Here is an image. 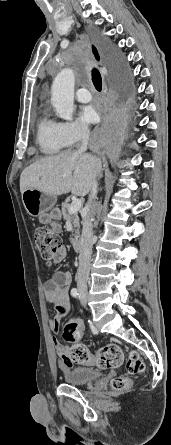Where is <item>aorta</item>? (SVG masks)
Masks as SVG:
<instances>
[{"label": "aorta", "mask_w": 171, "mask_h": 445, "mask_svg": "<svg viewBox=\"0 0 171 445\" xmlns=\"http://www.w3.org/2000/svg\"><path fill=\"white\" fill-rule=\"evenodd\" d=\"M75 77L72 69L64 68L52 84L51 103L61 119L71 121L74 111Z\"/></svg>", "instance_id": "aorta-1"}]
</instances>
